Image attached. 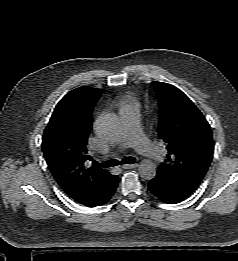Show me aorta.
<instances>
[{"label":"aorta","instance_id":"1","mask_svg":"<svg viewBox=\"0 0 238 261\" xmlns=\"http://www.w3.org/2000/svg\"><path fill=\"white\" fill-rule=\"evenodd\" d=\"M98 134L110 141L117 139L120 132V123L118 117L113 113H108L101 117L96 124ZM141 178L151 180L156 175V164L149 160L144 159L140 162L138 168Z\"/></svg>","mask_w":238,"mask_h":261}]
</instances>
